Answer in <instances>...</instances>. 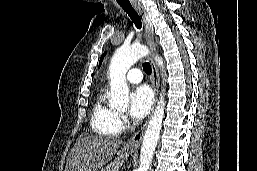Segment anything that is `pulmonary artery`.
<instances>
[{
	"label": "pulmonary artery",
	"instance_id": "e3ab8cb5",
	"mask_svg": "<svg viewBox=\"0 0 257 171\" xmlns=\"http://www.w3.org/2000/svg\"><path fill=\"white\" fill-rule=\"evenodd\" d=\"M126 79L130 83H134V84L140 83L143 79L141 70L138 68L130 69L126 75Z\"/></svg>",
	"mask_w": 257,
	"mask_h": 171
}]
</instances>
